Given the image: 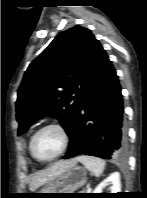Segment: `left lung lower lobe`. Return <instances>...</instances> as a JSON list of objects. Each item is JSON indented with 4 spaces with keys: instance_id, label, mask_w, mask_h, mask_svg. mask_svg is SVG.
<instances>
[{
    "instance_id": "obj_1",
    "label": "left lung lower lobe",
    "mask_w": 147,
    "mask_h": 198,
    "mask_svg": "<svg viewBox=\"0 0 147 198\" xmlns=\"http://www.w3.org/2000/svg\"><path fill=\"white\" fill-rule=\"evenodd\" d=\"M63 159L80 155L104 159L127 150L121 86L105 50L97 41L82 103Z\"/></svg>"
}]
</instances>
